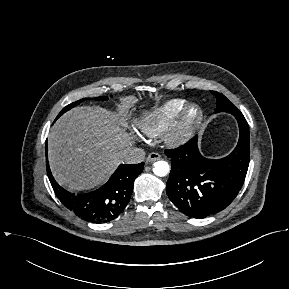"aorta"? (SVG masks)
Returning <instances> with one entry per match:
<instances>
[{
  "label": "aorta",
  "instance_id": "1",
  "mask_svg": "<svg viewBox=\"0 0 289 289\" xmlns=\"http://www.w3.org/2000/svg\"><path fill=\"white\" fill-rule=\"evenodd\" d=\"M170 171L169 164L166 161H157L153 164V172L155 175L163 177Z\"/></svg>",
  "mask_w": 289,
  "mask_h": 289
}]
</instances>
